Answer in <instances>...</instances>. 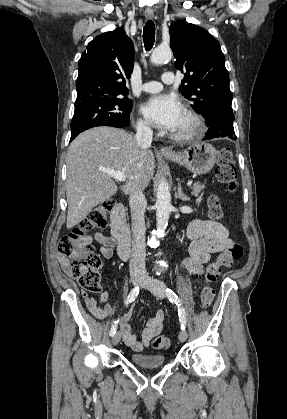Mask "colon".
<instances>
[{"label":"colon","mask_w":287,"mask_h":419,"mask_svg":"<svg viewBox=\"0 0 287 419\" xmlns=\"http://www.w3.org/2000/svg\"><path fill=\"white\" fill-rule=\"evenodd\" d=\"M215 175L228 191L235 190L237 169L233 153L229 148H224L219 152ZM209 205L211 217L219 218L222 214L219 198L212 196ZM112 209L113 202L110 200L99 204L87 214L79 227L62 237L59 242V251L69 259L72 275L78 280L81 288L88 292L96 293L101 289L99 269L102 262L87 234L94 229H104L108 224V217ZM242 256L243 247L241 244L233 243L209 264L205 275L207 285L202 289L200 295V303L203 308H208L213 301L215 291L210 283L215 281L221 268L230 266L240 260ZM170 343V339L165 336H156L152 340V346L160 350L167 349Z\"/></svg>","instance_id":"obj_1"}]
</instances>
